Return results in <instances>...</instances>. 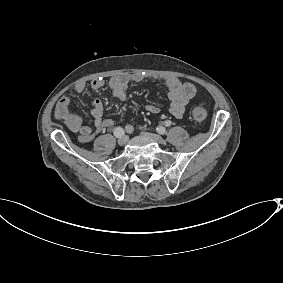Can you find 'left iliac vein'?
<instances>
[{
	"mask_svg": "<svg viewBox=\"0 0 283 283\" xmlns=\"http://www.w3.org/2000/svg\"><path fill=\"white\" fill-rule=\"evenodd\" d=\"M142 135H144L147 138L152 139L153 141L159 143V144H163L165 142V140L163 139V137H161L158 134H154V133H149V132H142Z\"/></svg>",
	"mask_w": 283,
	"mask_h": 283,
	"instance_id": "obj_1",
	"label": "left iliac vein"
}]
</instances>
